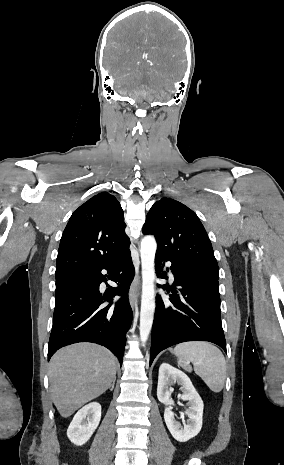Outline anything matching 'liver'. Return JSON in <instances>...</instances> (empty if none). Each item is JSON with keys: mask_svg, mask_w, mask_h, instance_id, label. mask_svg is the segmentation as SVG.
I'll list each match as a JSON object with an SVG mask.
<instances>
[{"mask_svg": "<svg viewBox=\"0 0 284 465\" xmlns=\"http://www.w3.org/2000/svg\"><path fill=\"white\" fill-rule=\"evenodd\" d=\"M116 375V359L108 349L90 343L64 347L50 363L52 401L61 417H70L77 409L109 389Z\"/></svg>", "mask_w": 284, "mask_h": 465, "instance_id": "liver-1", "label": "liver"}]
</instances>
